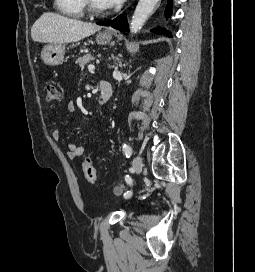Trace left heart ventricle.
<instances>
[{
	"label": "left heart ventricle",
	"mask_w": 255,
	"mask_h": 272,
	"mask_svg": "<svg viewBox=\"0 0 255 272\" xmlns=\"http://www.w3.org/2000/svg\"><path fill=\"white\" fill-rule=\"evenodd\" d=\"M94 3L98 8L103 9V6L100 4L99 0H94Z\"/></svg>",
	"instance_id": "left-heart-ventricle-1"
}]
</instances>
